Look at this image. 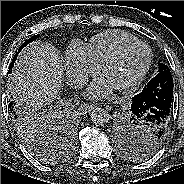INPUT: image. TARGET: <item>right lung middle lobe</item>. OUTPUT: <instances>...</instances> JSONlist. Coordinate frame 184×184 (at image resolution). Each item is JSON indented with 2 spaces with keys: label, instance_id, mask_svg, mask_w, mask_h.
<instances>
[{
  "label": "right lung middle lobe",
  "instance_id": "dd1d6c3e",
  "mask_svg": "<svg viewBox=\"0 0 184 184\" xmlns=\"http://www.w3.org/2000/svg\"><path fill=\"white\" fill-rule=\"evenodd\" d=\"M37 37L39 35L29 38L21 45L10 63L9 73L18 53ZM10 105L16 129L27 149L42 162L54 163L56 158L52 154V144L60 139L67 140L69 136L61 113L55 109L38 112V108L29 107L18 99L13 100Z\"/></svg>",
  "mask_w": 184,
  "mask_h": 184
}]
</instances>
